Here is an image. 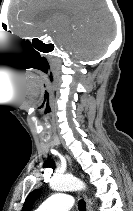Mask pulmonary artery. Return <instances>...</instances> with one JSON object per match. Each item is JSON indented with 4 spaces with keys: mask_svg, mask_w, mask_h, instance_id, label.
Wrapping results in <instances>:
<instances>
[{
    "mask_svg": "<svg viewBox=\"0 0 133 211\" xmlns=\"http://www.w3.org/2000/svg\"><path fill=\"white\" fill-rule=\"evenodd\" d=\"M73 206V198L66 193H56L45 200L35 211H68Z\"/></svg>",
    "mask_w": 133,
    "mask_h": 211,
    "instance_id": "e3ab8cb5",
    "label": "pulmonary artery"
}]
</instances>
